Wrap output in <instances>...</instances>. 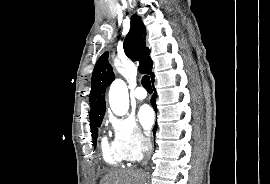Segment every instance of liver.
I'll return each mask as SVG.
<instances>
[{"mask_svg":"<svg viewBox=\"0 0 270 184\" xmlns=\"http://www.w3.org/2000/svg\"><path fill=\"white\" fill-rule=\"evenodd\" d=\"M143 175L136 170H119L108 173L101 184H142Z\"/></svg>","mask_w":270,"mask_h":184,"instance_id":"1","label":"liver"}]
</instances>
